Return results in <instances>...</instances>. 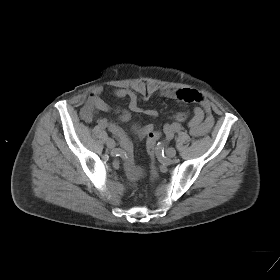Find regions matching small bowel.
Returning a JSON list of instances; mask_svg holds the SVG:
<instances>
[{
	"mask_svg": "<svg viewBox=\"0 0 280 280\" xmlns=\"http://www.w3.org/2000/svg\"><path fill=\"white\" fill-rule=\"evenodd\" d=\"M102 88H95L89 95L86 103L81 109V117L87 121L91 122L95 119L98 112H108L111 111V106L105 102L102 97ZM114 95L118 98H128V110L120 111V119L125 121L129 117V112L142 113L149 117H155L157 115L156 110L154 109H143L138 104L137 94L130 89L120 88L114 91ZM165 97L170 99L181 100L185 102L196 103V106L193 109L192 117L188 122V127L190 133L195 137H201L210 132L214 125V117L211 112V106L209 101L199 92L191 89H179L166 91L163 94ZM170 124L164 126L165 141H168L172 138L170 133ZM110 130L112 133L118 137L126 138L123 130L118 126L117 123L110 124ZM153 130V125L145 126L141 132V136H145L147 133ZM124 170L127 174V177L130 181H135L143 175V170L136 167L134 160L131 156L127 157L124 162Z\"/></svg>",
	"mask_w": 280,
	"mask_h": 280,
	"instance_id": "1",
	"label": "small bowel"
}]
</instances>
